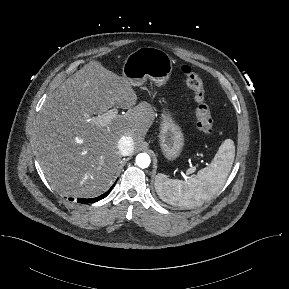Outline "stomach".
Returning a JSON list of instances; mask_svg holds the SVG:
<instances>
[{"label": "stomach", "instance_id": "0dacf381", "mask_svg": "<svg viewBox=\"0 0 289 289\" xmlns=\"http://www.w3.org/2000/svg\"><path fill=\"white\" fill-rule=\"evenodd\" d=\"M173 70L172 59L165 51L155 47H140L129 54L122 68V77L132 86L142 85L150 79L164 86ZM159 146L163 156L173 161L184 147V134L168 109H163L159 131Z\"/></svg>", "mask_w": 289, "mask_h": 289}]
</instances>
